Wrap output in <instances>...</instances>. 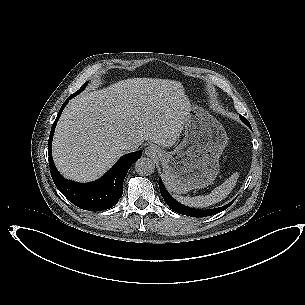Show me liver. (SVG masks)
I'll return each mask as SVG.
<instances>
[{"label": "liver", "mask_w": 305, "mask_h": 305, "mask_svg": "<svg viewBox=\"0 0 305 305\" xmlns=\"http://www.w3.org/2000/svg\"><path fill=\"white\" fill-rule=\"evenodd\" d=\"M163 88L181 94L177 81ZM147 84L127 79L106 88L84 92L72 99L57 124L52 155L68 179L90 182L104 175L125 153L127 140L170 147L177 141L188 106L156 111L148 101Z\"/></svg>", "instance_id": "liver-1"}]
</instances>
